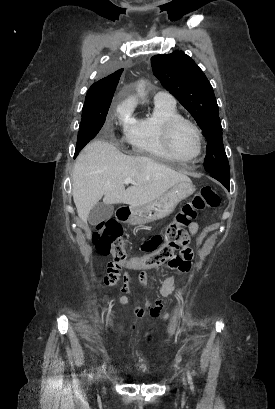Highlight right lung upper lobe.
Listing matches in <instances>:
<instances>
[{
	"instance_id": "cb5924a9",
	"label": "right lung upper lobe",
	"mask_w": 275,
	"mask_h": 409,
	"mask_svg": "<svg viewBox=\"0 0 275 409\" xmlns=\"http://www.w3.org/2000/svg\"><path fill=\"white\" fill-rule=\"evenodd\" d=\"M122 72L123 69L120 70V73H112L94 83L87 92L85 104L97 105L110 103Z\"/></svg>"
}]
</instances>
